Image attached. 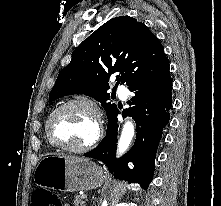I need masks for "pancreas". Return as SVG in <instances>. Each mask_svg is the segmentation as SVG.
Returning <instances> with one entry per match:
<instances>
[{
    "label": "pancreas",
    "instance_id": "1",
    "mask_svg": "<svg viewBox=\"0 0 221 206\" xmlns=\"http://www.w3.org/2000/svg\"><path fill=\"white\" fill-rule=\"evenodd\" d=\"M74 204H75V206H86L85 201H84V197L81 195H76L75 200H74Z\"/></svg>",
    "mask_w": 221,
    "mask_h": 206
}]
</instances>
